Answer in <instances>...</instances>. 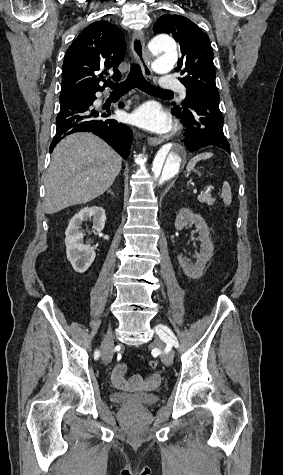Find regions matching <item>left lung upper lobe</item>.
<instances>
[{"label": "left lung upper lobe", "instance_id": "1", "mask_svg": "<svg viewBox=\"0 0 283 475\" xmlns=\"http://www.w3.org/2000/svg\"><path fill=\"white\" fill-rule=\"evenodd\" d=\"M153 31L171 34L180 44L182 57L176 71L183 75L179 80L187 88V96L184 102L174 105L186 108L194 93L219 95L210 40L196 24L181 15H163L157 19Z\"/></svg>", "mask_w": 283, "mask_h": 475}]
</instances>
